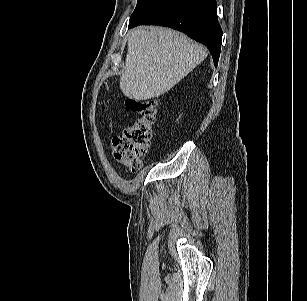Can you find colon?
Returning <instances> with one entry per match:
<instances>
[{
	"instance_id": "5ec220e1",
	"label": "colon",
	"mask_w": 307,
	"mask_h": 301,
	"mask_svg": "<svg viewBox=\"0 0 307 301\" xmlns=\"http://www.w3.org/2000/svg\"><path fill=\"white\" fill-rule=\"evenodd\" d=\"M127 107L138 115L122 133L113 139L115 159L131 171H138L147 153L157 115V102L152 99L128 98Z\"/></svg>"
}]
</instances>
